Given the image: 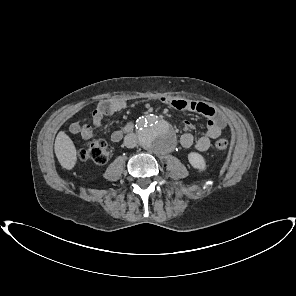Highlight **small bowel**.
I'll return each mask as SVG.
<instances>
[{"label":"small bowel","instance_id":"c3829d8e","mask_svg":"<svg viewBox=\"0 0 296 296\" xmlns=\"http://www.w3.org/2000/svg\"><path fill=\"white\" fill-rule=\"evenodd\" d=\"M161 101L170 107L177 110L194 111L203 115L207 119L206 131L204 135L195 139L194 136L185 132L180 137V144L184 148L194 146L198 151L204 152L209 149L211 141L221 135L223 129L227 127L228 121L226 116L218 111L213 106L199 101L162 97ZM127 107V102L124 100H105L100 102L92 112V124L85 125L80 122H74L70 125V132L74 135H80L83 139H91L95 132L93 127H99L105 116H109L115 112L123 110ZM192 125L189 122L185 123V128L190 130ZM124 129H115L112 131L110 138L113 142H119L125 133Z\"/></svg>","mask_w":296,"mask_h":296}]
</instances>
